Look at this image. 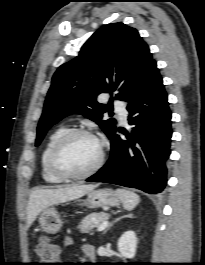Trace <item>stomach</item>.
<instances>
[{
	"mask_svg": "<svg viewBox=\"0 0 205 265\" xmlns=\"http://www.w3.org/2000/svg\"><path fill=\"white\" fill-rule=\"evenodd\" d=\"M121 200L111 189L92 190L88 193L85 204L90 208L102 206H118ZM40 227L48 234H56L62 227L60 215L54 207L44 209L39 217Z\"/></svg>",
	"mask_w": 205,
	"mask_h": 265,
	"instance_id": "0dacf381",
	"label": "stomach"
}]
</instances>
